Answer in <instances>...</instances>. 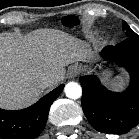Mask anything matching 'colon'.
<instances>
[{
	"mask_svg": "<svg viewBox=\"0 0 139 139\" xmlns=\"http://www.w3.org/2000/svg\"><path fill=\"white\" fill-rule=\"evenodd\" d=\"M63 23L66 26H72L75 23V18L74 17H71V16L65 17L64 20H63Z\"/></svg>",
	"mask_w": 139,
	"mask_h": 139,
	"instance_id": "5ec220e1",
	"label": "colon"
}]
</instances>
